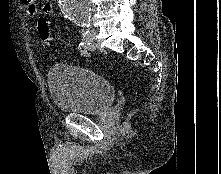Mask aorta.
<instances>
[{
  "label": "aorta",
  "instance_id": "762f6f07",
  "mask_svg": "<svg viewBox=\"0 0 221 174\" xmlns=\"http://www.w3.org/2000/svg\"><path fill=\"white\" fill-rule=\"evenodd\" d=\"M63 14L68 18L83 22L90 18L91 0H59Z\"/></svg>",
  "mask_w": 221,
  "mask_h": 174
}]
</instances>
